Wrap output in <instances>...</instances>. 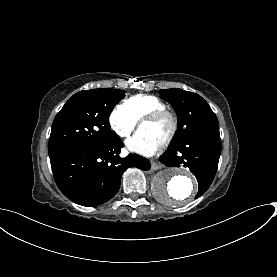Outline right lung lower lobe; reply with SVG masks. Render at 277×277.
<instances>
[{
  "instance_id": "98d812e1",
  "label": "right lung lower lobe",
  "mask_w": 277,
  "mask_h": 277,
  "mask_svg": "<svg viewBox=\"0 0 277 277\" xmlns=\"http://www.w3.org/2000/svg\"><path fill=\"white\" fill-rule=\"evenodd\" d=\"M123 144L118 137L99 146L62 150L50 156L55 182L60 191L82 206H97L118 192L123 172L129 167L149 170V161L129 154L120 158Z\"/></svg>"
}]
</instances>
